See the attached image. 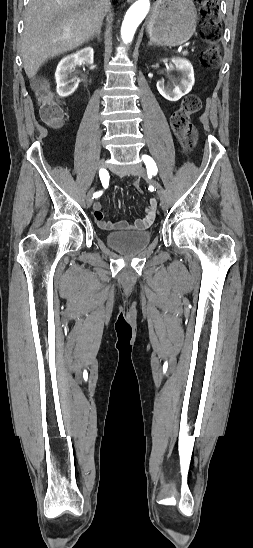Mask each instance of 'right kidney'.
<instances>
[{
	"instance_id": "1",
	"label": "right kidney",
	"mask_w": 253,
	"mask_h": 548,
	"mask_svg": "<svg viewBox=\"0 0 253 548\" xmlns=\"http://www.w3.org/2000/svg\"><path fill=\"white\" fill-rule=\"evenodd\" d=\"M94 51L91 47H86L80 51L64 57L57 66L55 79L57 83L56 91L60 97H68L78 87L76 79L71 77L73 69L78 63L93 64Z\"/></svg>"
}]
</instances>
